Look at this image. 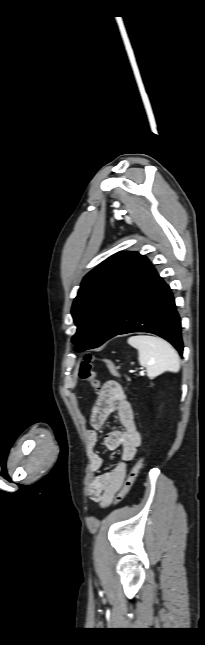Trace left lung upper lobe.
I'll return each mask as SVG.
<instances>
[{
    "label": "left lung upper lobe",
    "instance_id": "5c2ea615",
    "mask_svg": "<svg viewBox=\"0 0 205 645\" xmlns=\"http://www.w3.org/2000/svg\"><path fill=\"white\" fill-rule=\"evenodd\" d=\"M139 256L137 252H119L84 277L72 306L77 326L72 337L76 351L93 349L104 343L115 303Z\"/></svg>",
    "mask_w": 205,
    "mask_h": 645
}]
</instances>
